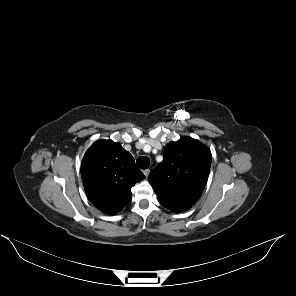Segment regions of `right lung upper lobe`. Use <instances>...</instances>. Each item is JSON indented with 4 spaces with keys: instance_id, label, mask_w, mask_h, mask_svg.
<instances>
[{
    "instance_id": "obj_1",
    "label": "right lung upper lobe",
    "mask_w": 296,
    "mask_h": 296,
    "mask_svg": "<svg viewBox=\"0 0 296 296\" xmlns=\"http://www.w3.org/2000/svg\"><path fill=\"white\" fill-rule=\"evenodd\" d=\"M88 199L99 210L113 215L131 200V188L145 178L132 155L111 139L95 141L81 163Z\"/></svg>"
}]
</instances>
